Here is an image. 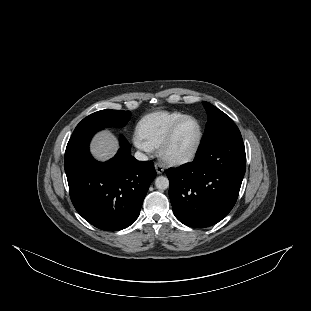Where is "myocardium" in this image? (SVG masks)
<instances>
[{
	"mask_svg": "<svg viewBox=\"0 0 311 311\" xmlns=\"http://www.w3.org/2000/svg\"><path fill=\"white\" fill-rule=\"evenodd\" d=\"M194 120L198 125V137L197 141L195 143L194 148L187 154L184 155H169V149L174 143V140L176 138L177 132L180 129V127L187 121ZM203 141V126L200 120L194 116H186L182 119H180L169 131L167 136L163 139V141L158 146V155L161 160H163L165 163L176 166L181 165L190 162L193 160L202 145Z\"/></svg>",
	"mask_w": 311,
	"mask_h": 311,
	"instance_id": "myocardium-1",
	"label": "myocardium"
}]
</instances>
